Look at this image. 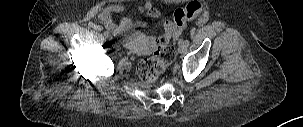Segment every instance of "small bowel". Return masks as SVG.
<instances>
[{
	"instance_id": "c3829d8e",
	"label": "small bowel",
	"mask_w": 303,
	"mask_h": 127,
	"mask_svg": "<svg viewBox=\"0 0 303 127\" xmlns=\"http://www.w3.org/2000/svg\"><path fill=\"white\" fill-rule=\"evenodd\" d=\"M125 6L122 3H113L102 7L99 11V19L104 27L115 37L121 38L123 44L136 54L148 53L154 45L155 38L151 35L137 31L136 29L146 26L145 22L123 17L116 21L114 14L123 12ZM139 12L151 19L157 20L161 28V36L171 39L177 34L174 23L167 18H162L160 11L154 7L150 0H146L140 7Z\"/></svg>"
}]
</instances>
